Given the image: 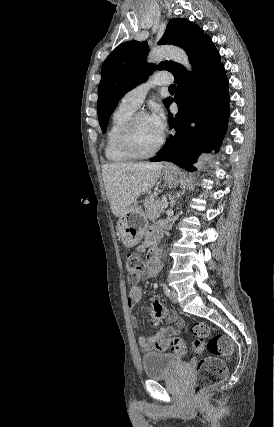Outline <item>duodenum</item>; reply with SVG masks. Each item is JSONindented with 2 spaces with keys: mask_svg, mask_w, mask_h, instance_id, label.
Segmentation results:
<instances>
[{
  "mask_svg": "<svg viewBox=\"0 0 274 427\" xmlns=\"http://www.w3.org/2000/svg\"><path fill=\"white\" fill-rule=\"evenodd\" d=\"M148 259L153 264H157V262H158V259H159V248L156 245L155 241L152 243V247L149 250Z\"/></svg>",
  "mask_w": 274,
  "mask_h": 427,
  "instance_id": "obj_1",
  "label": "duodenum"
}]
</instances>
